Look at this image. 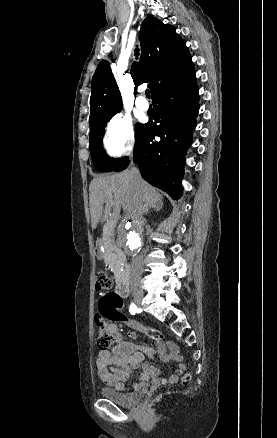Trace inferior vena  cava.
<instances>
[{"label": "inferior vena cava", "instance_id": "602c4592", "mask_svg": "<svg viewBox=\"0 0 277 438\" xmlns=\"http://www.w3.org/2000/svg\"><path fill=\"white\" fill-rule=\"evenodd\" d=\"M130 166L131 168L128 170V174L130 176V186H132L133 190H135V188H138L142 178L138 168H135V164H133V162H131ZM142 266V260L134 256L132 260V274L130 278L131 290H141L140 282L142 276Z\"/></svg>", "mask_w": 277, "mask_h": 438}]
</instances>
